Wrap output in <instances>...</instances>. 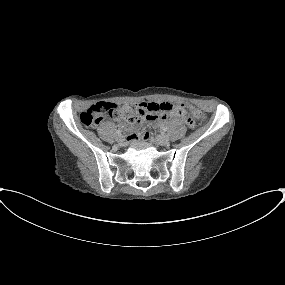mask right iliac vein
Returning a JSON list of instances; mask_svg holds the SVG:
<instances>
[{"label": "right iliac vein", "mask_w": 285, "mask_h": 285, "mask_svg": "<svg viewBox=\"0 0 285 285\" xmlns=\"http://www.w3.org/2000/svg\"><path fill=\"white\" fill-rule=\"evenodd\" d=\"M117 141L120 145H123L125 143V138L123 136L119 135L117 137Z\"/></svg>", "instance_id": "1"}]
</instances>
